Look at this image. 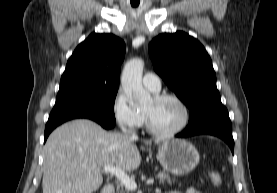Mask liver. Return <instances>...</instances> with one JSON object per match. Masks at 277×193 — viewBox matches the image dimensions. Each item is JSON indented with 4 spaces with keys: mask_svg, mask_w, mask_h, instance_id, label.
I'll return each mask as SVG.
<instances>
[{
    "mask_svg": "<svg viewBox=\"0 0 277 193\" xmlns=\"http://www.w3.org/2000/svg\"><path fill=\"white\" fill-rule=\"evenodd\" d=\"M136 139L106 132L86 119L63 124L45 144L43 193H93L103 182L101 167L138 168L141 156Z\"/></svg>",
    "mask_w": 277,
    "mask_h": 193,
    "instance_id": "6515ba94",
    "label": "liver"
}]
</instances>
